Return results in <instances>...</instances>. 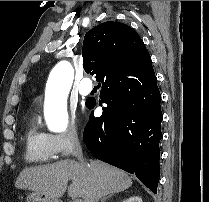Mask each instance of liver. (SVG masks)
<instances>
[{
  "instance_id": "liver-1",
  "label": "liver",
  "mask_w": 209,
  "mask_h": 202,
  "mask_svg": "<svg viewBox=\"0 0 209 202\" xmlns=\"http://www.w3.org/2000/svg\"><path fill=\"white\" fill-rule=\"evenodd\" d=\"M68 196L83 202H98L108 194L122 192L132 186V178L115 167L97 160L82 165L74 160H62L50 165L23 169L15 182L17 189H27L52 198Z\"/></svg>"
}]
</instances>
